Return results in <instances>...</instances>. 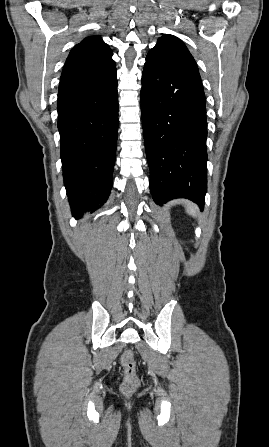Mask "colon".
<instances>
[{
    "instance_id": "colon-1",
    "label": "colon",
    "mask_w": 269,
    "mask_h": 447,
    "mask_svg": "<svg viewBox=\"0 0 269 447\" xmlns=\"http://www.w3.org/2000/svg\"><path fill=\"white\" fill-rule=\"evenodd\" d=\"M120 362L123 366L121 391L127 395L132 394L137 387H141L142 385V380L137 375V364L132 351H124L121 354Z\"/></svg>"
}]
</instances>
